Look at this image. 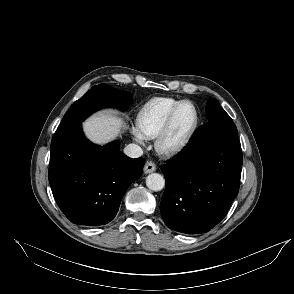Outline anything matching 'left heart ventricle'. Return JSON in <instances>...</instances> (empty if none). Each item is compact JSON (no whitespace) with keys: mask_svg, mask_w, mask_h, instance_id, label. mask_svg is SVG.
<instances>
[{"mask_svg":"<svg viewBox=\"0 0 294 294\" xmlns=\"http://www.w3.org/2000/svg\"><path fill=\"white\" fill-rule=\"evenodd\" d=\"M194 120V108L190 104L182 106L175 118L174 124L167 138V143L176 144L181 142L191 129Z\"/></svg>","mask_w":294,"mask_h":294,"instance_id":"left-heart-ventricle-1","label":"left heart ventricle"}]
</instances>
